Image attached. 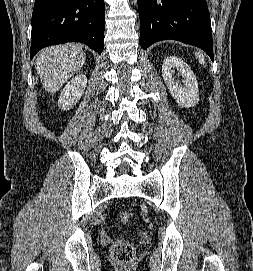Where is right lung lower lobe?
<instances>
[{
    "label": "right lung lower lobe",
    "mask_w": 253,
    "mask_h": 271,
    "mask_svg": "<svg viewBox=\"0 0 253 271\" xmlns=\"http://www.w3.org/2000/svg\"><path fill=\"white\" fill-rule=\"evenodd\" d=\"M104 24L103 0H35L30 57L44 47L74 41L101 53Z\"/></svg>",
    "instance_id": "right-lung-lower-lobe-1"
}]
</instances>
